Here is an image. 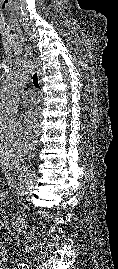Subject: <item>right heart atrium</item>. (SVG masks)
Wrapping results in <instances>:
<instances>
[{
    "instance_id": "1",
    "label": "right heart atrium",
    "mask_w": 118,
    "mask_h": 269,
    "mask_svg": "<svg viewBox=\"0 0 118 269\" xmlns=\"http://www.w3.org/2000/svg\"><path fill=\"white\" fill-rule=\"evenodd\" d=\"M30 139L19 119L6 121L0 116V146L3 143L8 146L21 147L29 143Z\"/></svg>"
}]
</instances>
